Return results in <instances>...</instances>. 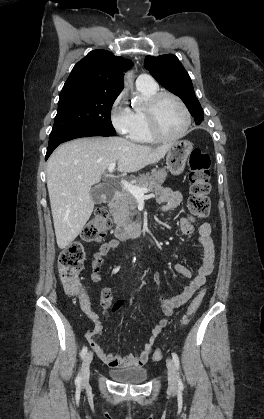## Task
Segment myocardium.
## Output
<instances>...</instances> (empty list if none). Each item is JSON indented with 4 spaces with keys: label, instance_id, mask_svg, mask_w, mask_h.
I'll list each match as a JSON object with an SVG mask.
<instances>
[{
    "label": "myocardium",
    "instance_id": "1",
    "mask_svg": "<svg viewBox=\"0 0 264 419\" xmlns=\"http://www.w3.org/2000/svg\"><path fill=\"white\" fill-rule=\"evenodd\" d=\"M164 97H170L174 101H176V103L182 109L184 117H185V123H184V127H183L182 131L175 136H167V135L163 134L161 129H160V126H159L158 106H159V103L161 102V100ZM145 111H146L149 131H150L152 137L157 141H161V142H175V141H178L187 134V132L190 128V125H191L190 111H189L188 107L186 106V104L184 103V101L179 96H177L176 94H174L172 92L157 91L155 94H153L148 99V101L146 103Z\"/></svg>",
    "mask_w": 264,
    "mask_h": 419
}]
</instances>
